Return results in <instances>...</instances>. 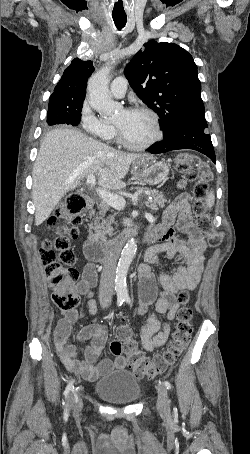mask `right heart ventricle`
I'll return each mask as SVG.
<instances>
[{"mask_svg": "<svg viewBox=\"0 0 250 454\" xmlns=\"http://www.w3.org/2000/svg\"><path fill=\"white\" fill-rule=\"evenodd\" d=\"M113 137H114V129L113 128L104 135V138H106V139H111Z\"/></svg>", "mask_w": 250, "mask_h": 454, "instance_id": "1", "label": "right heart ventricle"}]
</instances>
